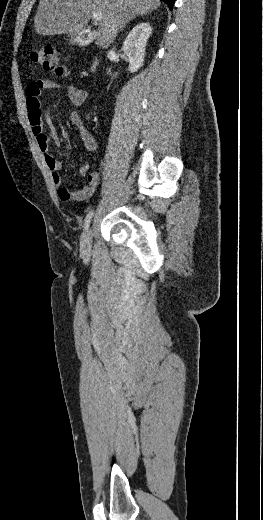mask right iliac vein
I'll return each instance as SVG.
<instances>
[{
  "mask_svg": "<svg viewBox=\"0 0 263 520\" xmlns=\"http://www.w3.org/2000/svg\"><path fill=\"white\" fill-rule=\"evenodd\" d=\"M91 240H92V232L91 230H87L86 233L82 236L80 242V251L83 256H87L91 250Z\"/></svg>",
  "mask_w": 263,
  "mask_h": 520,
  "instance_id": "obj_1",
  "label": "right iliac vein"
}]
</instances>
